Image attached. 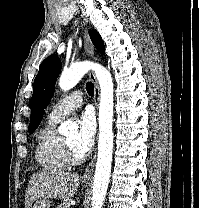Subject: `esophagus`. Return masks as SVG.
I'll list each match as a JSON object with an SVG mask.
<instances>
[{
  "label": "esophagus",
  "mask_w": 199,
  "mask_h": 208,
  "mask_svg": "<svg viewBox=\"0 0 199 208\" xmlns=\"http://www.w3.org/2000/svg\"><path fill=\"white\" fill-rule=\"evenodd\" d=\"M83 47H84L85 54L88 57L93 58L92 44H91L89 35H88L85 27H83ZM89 76H90L91 80L94 82V85H95V93H94L93 100H94V104H95L96 109H98L99 100H100L99 85H98L97 79H96L95 74H94L93 71L90 72ZM95 162H96V154L93 156L89 165L87 166L84 173L82 174V178L92 177L93 172H94Z\"/></svg>",
  "instance_id": "esophagus-1"
}]
</instances>
